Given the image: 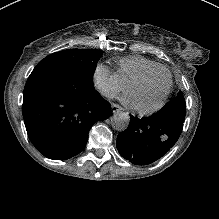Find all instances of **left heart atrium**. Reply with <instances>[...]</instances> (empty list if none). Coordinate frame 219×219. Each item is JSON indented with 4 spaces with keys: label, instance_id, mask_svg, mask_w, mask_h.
<instances>
[{
    "label": "left heart atrium",
    "instance_id": "obj_1",
    "mask_svg": "<svg viewBox=\"0 0 219 219\" xmlns=\"http://www.w3.org/2000/svg\"><path fill=\"white\" fill-rule=\"evenodd\" d=\"M122 99H123V101L127 104V105H129V106H131V107H134L135 106V101H134V99L130 96V95H124L123 97H122Z\"/></svg>",
    "mask_w": 219,
    "mask_h": 219
}]
</instances>
